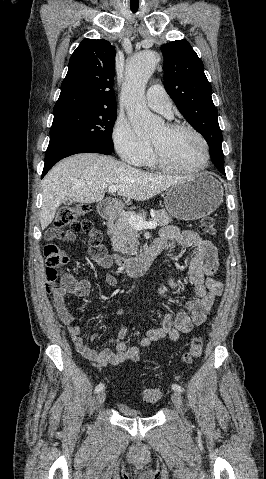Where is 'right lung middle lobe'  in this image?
<instances>
[{"label":"right lung middle lobe","instance_id":"1","mask_svg":"<svg viewBox=\"0 0 266 479\" xmlns=\"http://www.w3.org/2000/svg\"><path fill=\"white\" fill-rule=\"evenodd\" d=\"M116 115L117 109L54 113L50 137L90 143L113 151L112 130Z\"/></svg>","mask_w":266,"mask_h":479}]
</instances>
